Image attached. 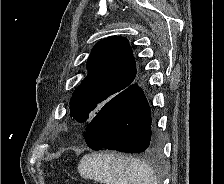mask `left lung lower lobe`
I'll list each match as a JSON object with an SVG mask.
<instances>
[{"instance_id":"0a47b994","label":"left lung lower lobe","mask_w":224,"mask_h":184,"mask_svg":"<svg viewBox=\"0 0 224 184\" xmlns=\"http://www.w3.org/2000/svg\"><path fill=\"white\" fill-rule=\"evenodd\" d=\"M86 144L93 150L153 153L161 139L151 129L150 107L142 89L132 84L106 102L90 121Z\"/></svg>"}]
</instances>
